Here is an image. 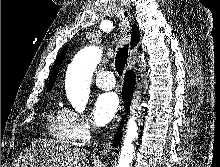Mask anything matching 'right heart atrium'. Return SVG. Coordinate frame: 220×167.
Returning <instances> with one entry per match:
<instances>
[{
	"instance_id": "d8ad5b80",
	"label": "right heart atrium",
	"mask_w": 220,
	"mask_h": 167,
	"mask_svg": "<svg viewBox=\"0 0 220 167\" xmlns=\"http://www.w3.org/2000/svg\"><path fill=\"white\" fill-rule=\"evenodd\" d=\"M62 112L74 141L87 140L92 131L90 119L86 115L72 109L66 108Z\"/></svg>"
}]
</instances>
